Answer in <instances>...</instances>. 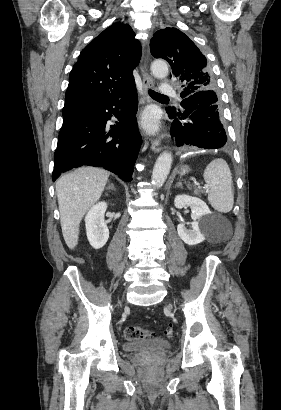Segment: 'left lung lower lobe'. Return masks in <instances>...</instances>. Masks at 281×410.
I'll list each match as a JSON object with an SVG mask.
<instances>
[{"label":"left lung lower lobe","instance_id":"0a47b994","mask_svg":"<svg viewBox=\"0 0 281 410\" xmlns=\"http://www.w3.org/2000/svg\"><path fill=\"white\" fill-rule=\"evenodd\" d=\"M217 103L214 90H203L183 98L182 111L167 109L168 116L174 119L170 133L178 146L217 149L225 145L227 137Z\"/></svg>","mask_w":281,"mask_h":410}]
</instances>
